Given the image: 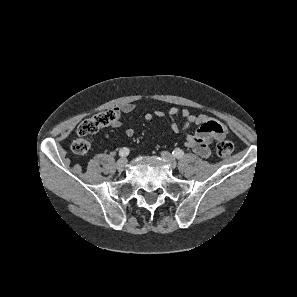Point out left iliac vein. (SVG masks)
I'll list each match as a JSON object with an SVG mask.
<instances>
[{
	"label": "left iliac vein",
	"mask_w": 297,
	"mask_h": 297,
	"mask_svg": "<svg viewBox=\"0 0 297 297\" xmlns=\"http://www.w3.org/2000/svg\"><path fill=\"white\" fill-rule=\"evenodd\" d=\"M161 157L169 164L171 168L177 167V161L171 153L167 151H162Z\"/></svg>",
	"instance_id": "obj_1"
}]
</instances>
